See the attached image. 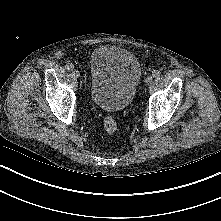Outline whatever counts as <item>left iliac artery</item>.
Masks as SVG:
<instances>
[{"label": "left iliac artery", "mask_w": 221, "mask_h": 221, "mask_svg": "<svg viewBox=\"0 0 221 221\" xmlns=\"http://www.w3.org/2000/svg\"><path fill=\"white\" fill-rule=\"evenodd\" d=\"M160 71L159 70H154L153 72H152V76L154 77V78H158L159 76H160Z\"/></svg>", "instance_id": "left-iliac-artery-1"}]
</instances>
